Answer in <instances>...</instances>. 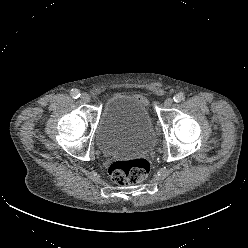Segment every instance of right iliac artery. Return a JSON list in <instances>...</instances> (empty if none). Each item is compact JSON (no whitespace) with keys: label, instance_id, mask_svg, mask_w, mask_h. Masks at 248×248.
Instances as JSON below:
<instances>
[{"label":"right iliac artery","instance_id":"1","mask_svg":"<svg viewBox=\"0 0 248 248\" xmlns=\"http://www.w3.org/2000/svg\"><path fill=\"white\" fill-rule=\"evenodd\" d=\"M71 96L77 99L80 96V91L78 89H72Z\"/></svg>","mask_w":248,"mask_h":248}]
</instances>
